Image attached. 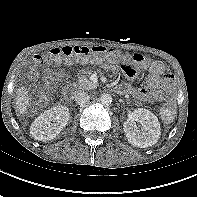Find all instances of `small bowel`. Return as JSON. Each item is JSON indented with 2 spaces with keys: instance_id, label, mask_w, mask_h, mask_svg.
<instances>
[{
  "instance_id": "c3829d8e",
  "label": "small bowel",
  "mask_w": 197,
  "mask_h": 197,
  "mask_svg": "<svg viewBox=\"0 0 197 197\" xmlns=\"http://www.w3.org/2000/svg\"><path fill=\"white\" fill-rule=\"evenodd\" d=\"M125 77L128 80H134L136 72L130 65V59L125 58L122 66ZM37 76L33 70L30 73L31 78ZM125 87L126 93H130L135 98L145 102H157L163 100H171L174 91L173 77L165 74V66L160 61H153L149 65V75L145 80L143 87L135 88L129 84L121 85Z\"/></svg>"
}]
</instances>
